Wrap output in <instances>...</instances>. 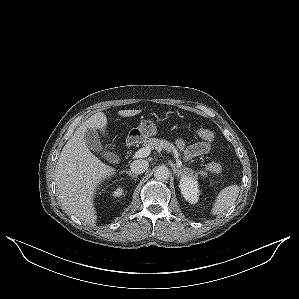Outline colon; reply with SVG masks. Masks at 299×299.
Returning a JSON list of instances; mask_svg holds the SVG:
<instances>
[{
	"label": "colon",
	"mask_w": 299,
	"mask_h": 299,
	"mask_svg": "<svg viewBox=\"0 0 299 299\" xmlns=\"http://www.w3.org/2000/svg\"><path fill=\"white\" fill-rule=\"evenodd\" d=\"M194 133L195 136L206 141H213L215 138L214 133L208 129H197ZM208 169L212 172H220L222 170V166L216 162H211L208 165Z\"/></svg>",
	"instance_id": "1"
}]
</instances>
